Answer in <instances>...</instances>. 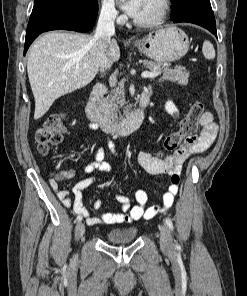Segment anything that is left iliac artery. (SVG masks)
Returning a JSON list of instances; mask_svg holds the SVG:
<instances>
[{
    "label": "left iliac artery",
    "instance_id": "44dca946",
    "mask_svg": "<svg viewBox=\"0 0 247 296\" xmlns=\"http://www.w3.org/2000/svg\"><path fill=\"white\" fill-rule=\"evenodd\" d=\"M165 223L169 227V229L173 230V223L169 218L165 219Z\"/></svg>",
    "mask_w": 247,
    "mask_h": 296
}]
</instances>
